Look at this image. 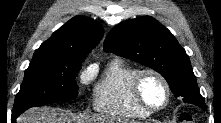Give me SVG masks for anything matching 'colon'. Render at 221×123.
Instances as JSON below:
<instances>
[{
    "mask_svg": "<svg viewBox=\"0 0 221 123\" xmlns=\"http://www.w3.org/2000/svg\"><path fill=\"white\" fill-rule=\"evenodd\" d=\"M180 121L181 123H194L195 122L193 116L187 112H184L181 114Z\"/></svg>",
    "mask_w": 221,
    "mask_h": 123,
    "instance_id": "5ec220e1",
    "label": "colon"
}]
</instances>
